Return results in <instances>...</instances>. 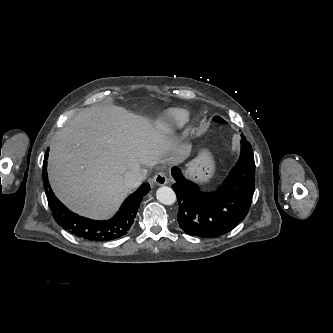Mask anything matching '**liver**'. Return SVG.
<instances>
[{
    "mask_svg": "<svg viewBox=\"0 0 333 333\" xmlns=\"http://www.w3.org/2000/svg\"><path fill=\"white\" fill-rule=\"evenodd\" d=\"M170 145L162 127L149 124L125 108H85L50 145L49 181L70 210L106 219L130 191L123 181L125 172L154 165ZM183 155L174 157L173 163L178 164Z\"/></svg>",
    "mask_w": 333,
    "mask_h": 333,
    "instance_id": "6515ba94",
    "label": "liver"
}]
</instances>
